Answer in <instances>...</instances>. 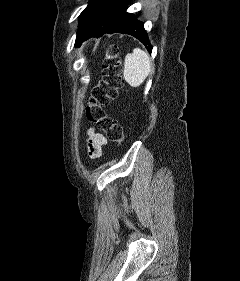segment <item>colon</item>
<instances>
[{"instance_id":"1","label":"colon","mask_w":240,"mask_h":281,"mask_svg":"<svg viewBox=\"0 0 240 281\" xmlns=\"http://www.w3.org/2000/svg\"><path fill=\"white\" fill-rule=\"evenodd\" d=\"M121 72L118 48L111 45L103 62L101 79L92 89L86 106L88 121L96 124L111 141L118 144L124 139L123 128L107 114L104 107L117 97L123 86Z\"/></svg>"}]
</instances>
